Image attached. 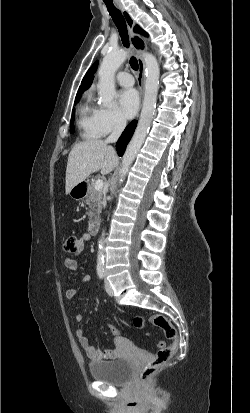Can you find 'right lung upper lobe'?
Here are the masks:
<instances>
[{"instance_id":"obj_1","label":"right lung upper lobe","mask_w":250,"mask_h":413,"mask_svg":"<svg viewBox=\"0 0 250 413\" xmlns=\"http://www.w3.org/2000/svg\"><path fill=\"white\" fill-rule=\"evenodd\" d=\"M97 66H98V61H96L87 71L86 75L84 76L82 82H81V86L79 87L78 93L76 95L77 96H81L82 92L84 90H86L92 83V80L94 78V73L97 70Z\"/></svg>"}]
</instances>
